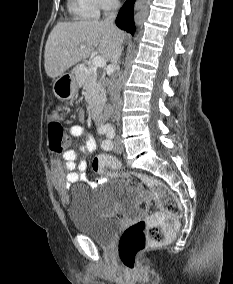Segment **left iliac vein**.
Instances as JSON below:
<instances>
[{
    "label": "left iliac vein",
    "mask_w": 233,
    "mask_h": 284,
    "mask_svg": "<svg viewBox=\"0 0 233 284\" xmlns=\"http://www.w3.org/2000/svg\"><path fill=\"white\" fill-rule=\"evenodd\" d=\"M124 149L123 144L121 142V139L119 137L115 138L114 144H113V150L117 153L122 152Z\"/></svg>",
    "instance_id": "left-iliac-vein-1"
}]
</instances>
